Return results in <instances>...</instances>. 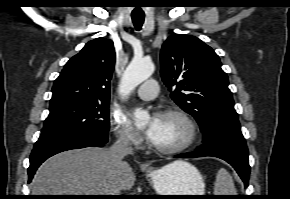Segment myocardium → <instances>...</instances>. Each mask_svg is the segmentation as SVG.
Segmentation results:
<instances>
[{
    "label": "myocardium",
    "instance_id": "f54148a6",
    "mask_svg": "<svg viewBox=\"0 0 290 199\" xmlns=\"http://www.w3.org/2000/svg\"><path fill=\"white\" fill-rule=\"evenodd\" d=\"M158 116H176L179 117L189 129L188 139L180 146L174 148H162L150 141L152 150L163 155H178L186 152L197 142L199 138V129L195 120L183 109L180 108H166L158 113Z\"/></svg>",
    "mask_w": 290,
    "mask_h": 199
}]
</instances>
